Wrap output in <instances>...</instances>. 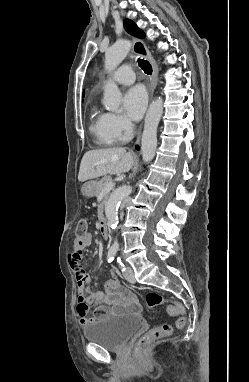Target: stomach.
Wrapping results in <instances>:
<instances>
[{
    "instance_id": "obj_1",
    "label": "stomach",
    "mask_w": 249,
    "mask_h": 382,
    "mask_svg": "<svg viewBox=\"0 0 249 382\" xmlns=\"http://www.w3.org/2000/svg\"><path fill=\"white\" fill-rule=\"evenodd\" d=\"M96 182L94 181H90V182H87L85 183L83 186H82V194L85 196V197H92L95 193V189H96Z\"/></svg>"
}]
</instances>
